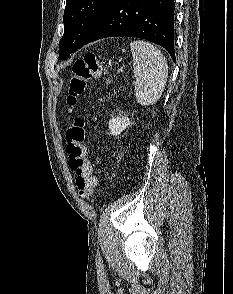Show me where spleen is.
Here are the masks:
<instances>
[{
  "instance_id": "1",
  "label": "spleen",
  "mask_w": 233,
  "mask_h": 294,
  "mask_svg": "<svg viewBox=\"0 0 233 294\" xmlns=\"http://www.w3.org/2000/svg\"><path fill=\"white\" fill-rule=\"evenodd\" d=\"M133 72L136 77L135 96L140 105L156 103L168 78V66L161 51L153 44L135 40L130 43Z\"/></svg>"
}]
</instances>
